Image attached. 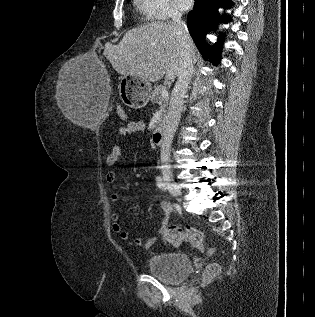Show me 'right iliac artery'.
<instances>
[{"mask_svg": "<svg viewBox=\"0 0 315 317\" xmlns=\"http://www.w3.org/2000/svg\"><path fill=\"white\" fill-rule=\"evenodd\" d=\"M156 184L161 190L166 191L167 187L161 176L156 177Z\"/></svg>", "mask_w": 315, "mask_h": 317, "instance_id": "82829eb1", "label": "right iliac artery"}]
</instances>
